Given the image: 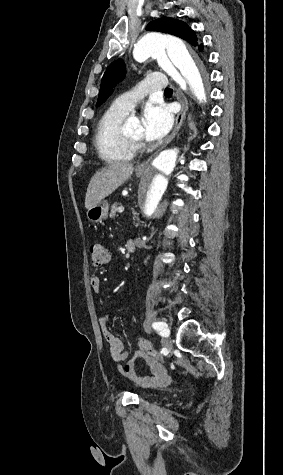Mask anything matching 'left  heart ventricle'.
Segmentation results:
<instances>
[{"label": "left heart ventricle", "mask_w": 283, "mask_h": 475, "mask_svg": "<svg viewBox=\"0 0 283 475\" xmlns=\"http://www.w3.org/2000/svg\"><path fill=\"white\" fill-rule=\"evenodd\" d=\"M124 134L131 139L138 140L144 138L143 127L140 122L131 131Z\"/></svg>", "instance_id": "b2bd125f"}]
</instances>
